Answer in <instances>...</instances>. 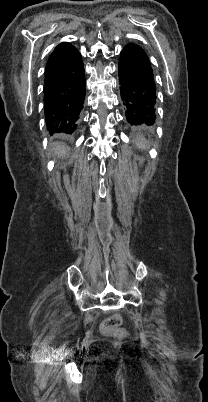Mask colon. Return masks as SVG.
<instances>
[{
    "instance_id": "5ec220e1",
    "label": "colon",
    "mask_w": 208,
    "mask_h": 402,
    "mask_svg": "<svg viewBox=\"0 0 208 402\" xmlns=\"http://www.w3.org/2000/svg\"><path fill=\"white\" fill-rule=\"evenodd\" d=\"M120 325H121L120 318H105L104 324L102 325L101 330L103 333L109 335V334H112L113 332H115L118 327H119L120 331H123L124 327L120 326Z\"/></svg>"
}]
</instances>
